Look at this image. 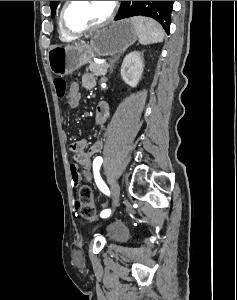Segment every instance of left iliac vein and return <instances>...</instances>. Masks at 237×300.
I'll return each instance as SVG.
<instances>
[{
    "instance_id": "obj_1",
    "label": "left iliac vein",
    "mask_w": 237,
    "mask_h": 300,
    "mask_svg": "<svg viewBox=\"0 0 237 300\" xmlns=\"http://www.w3.org/2000/svg\"><path fill=\"white\" fill-rule=\"evenodd\" d=\"M120 197V187L118 182L112 185V198H113V208H116L119 204Z\"/></svg>"
}]
</instances>
